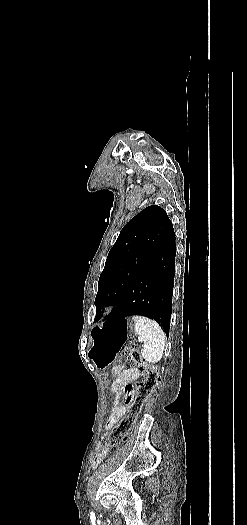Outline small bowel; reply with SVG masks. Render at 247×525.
<instances>
[{"mask_svg":"<svg viewBox=\"0 0 247 525\" xmlns=\"http://www.w3.org/2000/svg\"><path fill=\"white\" fill-rule=\"evenodd\" d=\"M141 375V371L138 368H129L119 372L117 378L112 384L113 392L119 389L121 386L130 384ZM126 412V409L123 405L118 402L115 403L112 412L108 418L106 427L110 429ZM107 451L99 449L93 456L92 466L97 467L102 460L106 457Z\"/></svg>","mask_w":247,"mask_h":525,"instance_id":"obj_1","label":"small bowel"}]
</instances>
